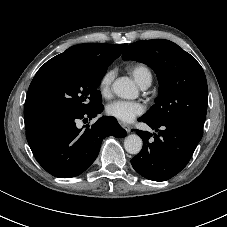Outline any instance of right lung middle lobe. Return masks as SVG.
<instances>
[{
	"label": "right lung middle lobe",
	"instance_id": "right-lung-middle-lobe-1",
	"mask_svg": "<svg viewBox=\"0 0 227 227\" xmlns=\"http://www.w3.org/2000/svg\"><path fill=\"white\" fill-rule=\"evenodd\" d=\"M112 58L101 66L72 61H53L40 68L32 80V103L42 117L78 114L102 102L97 90Z\"/></svg>",
	"mask_w": 227,
	"mask_h": 227
}]
</instances>
